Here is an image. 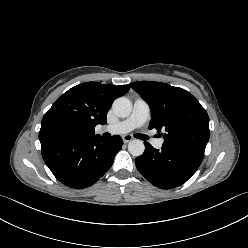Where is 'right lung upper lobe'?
Here are the masks:
<instances>
[{
	"label": "right lung upper lobe",
	"instance_id": "cb5924a9",
	"mask_svg": "<svg viewBox=\"0 0 248 248\" xmlns=\"http://www.w3.org/2000/svg\"><path fill=\"white\" fill-rule=\"evenodd\" d=\"M128 85H109L86 82L72 87L60 96L44 115L39 132L40 141L48 140L44 134L57 123L66 124L70 138H90L97 124H106L107 113L113 101L126 94Z\"/></svg>",
	"mask_w": 248,
	"mask_h": 248
}]
</instances>
